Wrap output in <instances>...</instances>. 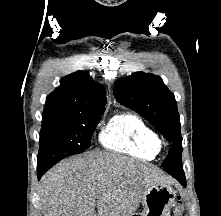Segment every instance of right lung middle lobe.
<instances>
[{"label": "right lung middle lobe", "instance_id": "obj_1", "mask_svg": "<svg viewBox=\"0 0 221 216\" xmlns=\"http://www.w3.org/2000/svg\"><path fill=\"white\" fill-rule=\"evenodd\" d=\"M102 114H85L70 121L42 124L37 167L53 166L67 156L87 150Z\"/></svg>", "mask_w": 221, "mask_h": 216}]
</instances>
